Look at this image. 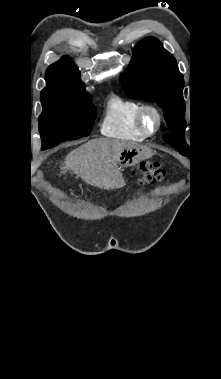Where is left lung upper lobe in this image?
I'll list each match as a JSON object with an SVG mask.
<instances>
[{"label":"left lung upper lobe","instance_id":"1","mask_svg":"<svg viewBox=\"0 0 221 379\" xmlns=\"http://www.w3.org/2000/svg\"><path fill=\"white\" fill-rule=\"evenodd\" d=\"M121 80L130 97L155 101L163 109L171 129L163 139L180 154L189 155L191 145L185 141L184 79L173 55L158 39L147 37L134 48L129 70L121 75Z\"/></svg>","mask_w":221,"mask_h":379}]
</instances>
